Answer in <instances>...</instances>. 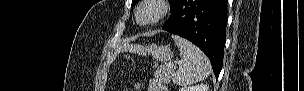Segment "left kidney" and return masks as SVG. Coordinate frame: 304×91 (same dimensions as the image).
<instances>
[{
	"instance_id": "left-kidney-1",
	"label": "left kidney",
	"mask_w": 304,
	"mask_h": 91,
	"mask_svg": "<svg viewBox=\"0 0 304 91\" xmlns=\"http://www.w3.org/2000/svg\"><path fill=\"white\" fill-rule=\"evenodd\" d=\"M179 91H209V86L207 84L185 86L180 88Z\"/></svg>"
}]
</instances>
